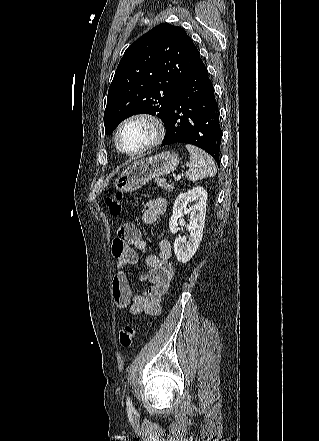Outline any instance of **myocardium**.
<instances>
[{
	"mask_svg": "<svg viewBox=\"0 0 319 441\" xmlns=\"http://www.w3.org/2000/svg\"><path fill=\"white\" fill-rule=\"evenodd\" d=\"M134 122H143L147 124L151 128L152 135L150 140L145 145H143L137 150L128 151L122 147L120 136L124 128ZM164 136H165V126L163 121L154 114L147 112H140V113L132 114L120 122V124L118 125L115 131L114 140H115L116 148L121 153L127 156H138L159 145L162 142Z\"/></svg>",
	"mask_w": 319,
	"mask_h": 441,
	"instance_id": "myocardium-1",
	"label": "myocardium"
}]
</instances>
